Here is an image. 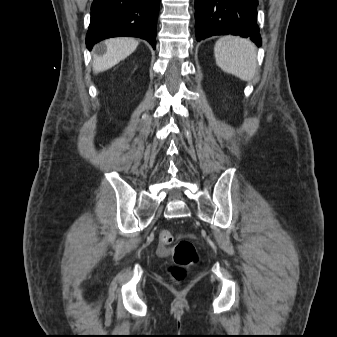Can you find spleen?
I'll use <instances>...</instances> for the list:
<instances>
[{
    "label": "spleen",
    "instance_id": "1",
    "mask_svg": "<svg viewBox=\"0 0 337 337\" xmlns=\"http://www.w3.org/2000/svg\"><path fill=\"white\" fill-rule=\"evenodd\" d=\"M216 64L226 73L243 81H250L257 68V53L248 39L234 36L221 37L214 46Z\"/></svg>",
    "mask_w": 337,
    "mask_h": 337
}]
</instances>
